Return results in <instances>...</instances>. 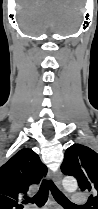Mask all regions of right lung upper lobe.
I'll use <instances>...</instances> for the list:
<instances>
[{
  "mask_svg": "<svg viewBox=\"0 0 98 209\" xmlns=\"http://www.w3.org/2000/svg\"><path fill=\"white\" fill-rule=\"evenodd\" d=\"M47 167L31 149L18 151L0 167V209H22L30 186L39 184Z\"/></svg>",
  "mask_w": 98,
  "mask_h": 209,
  "instance_id": "right-lung-upper-lobe-1",
  "label": "right lung upper lobe"
}]
</instances>
